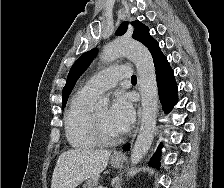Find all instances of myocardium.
<instances>
[{"label": "myocardium", "mask_w": 224, "mask_h": 188, "mask_svg": "<svg viewBox=\"0 0 224 188\" xmlns=\"http://www.w3.org/2000/svg\"><path fill=\"white\" fill-rule=\"evenodd\" d=\"M90 125H91V129H92L94 137L100 144L112 145V144L118 143L121 139L120 135L109 136L104 132V130L102 129V126L100 125V123L95 115V112L91 113Z\"/></svg>", "instance_id": "f54148a6"}]
</instances>
